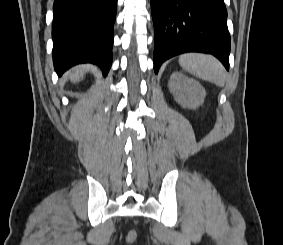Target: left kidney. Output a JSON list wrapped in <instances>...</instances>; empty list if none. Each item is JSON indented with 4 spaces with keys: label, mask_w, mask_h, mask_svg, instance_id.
<instances>
[{
    "label": "left kidney",
    "mask_w": 283,
    "mask_h": 245,
    "mask_svg": "<svg viewBox=\"0 0 283 245\" xmlns=\"http://www.w3.org/2000/svg\"><path fill=\"white\" fill-rule=\"evenodd\" d=\"M168 86L175 100L185 108L196 109L204 103L206 92L202 85L180 72L172 73Z\"/></svg>",
    "instance_id": "1"
}]
</instances>
